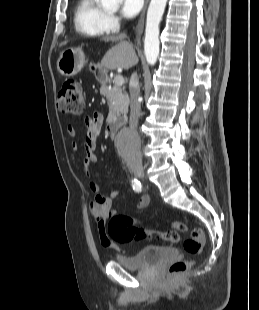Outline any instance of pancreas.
<instances>
[{"mask_svg": "<svg viewBox=\"0 0 259 310\" xmlns=\"http://www.w3.org/2000/svg\"><path fill=\"white\" fill-rule=\"evenodd\" d=\"M101 95L105 96L109 105L108 123L122 121L128 112L129 98L120 86L108 88L106 81H101Z\"/></svg>", "mask_w": 259, "mask_h": 310, "instance_id": "obj_1", "label": "pancreas"}]
</instances>
